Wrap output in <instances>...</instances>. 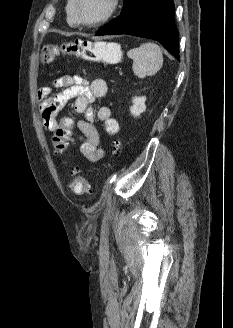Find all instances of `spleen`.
<instances>
[{"instance_id": "spleen-1", "label": "spleen", "mask_w": 233, "mask_h": 328, "mask_svg": "<svg viewBox=\"0 0 233 328\" xmlns=\"http://www.w3.org/2000/svg\"><path fill=\"white\" fill-rule=\"evenodd\" d=\"M103 45L108 49L119 48L116 43ZM127 56L133 60L132 69L138 78L155 75L163 65L162 51L153 42L143 43L137 48L130 49Z\"/></svg>"}]
</instances>
